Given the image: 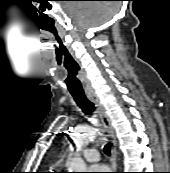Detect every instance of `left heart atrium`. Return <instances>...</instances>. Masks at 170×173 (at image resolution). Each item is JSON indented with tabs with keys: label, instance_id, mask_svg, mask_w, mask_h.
Listing matches in <instances>:
<instances>
[{
	"label": "left heart atrium",
	"instance_id": "obj_1",
	"mask_svg": "<svg viewBox=\"0 0 170 173\" xmlns=\"http://www.w3.org/2000/svg\"><path fill=\"white\" fill-rule=\"evenodd\" d=\"M90 173H106L107 167L104 165H93L89 168Z\"/></svg>",
	"mask_w": 170,
	"mask_h": 173
}]
</instances>
